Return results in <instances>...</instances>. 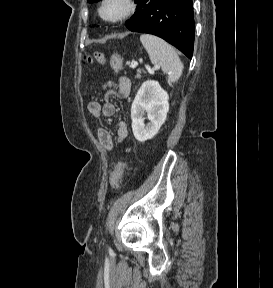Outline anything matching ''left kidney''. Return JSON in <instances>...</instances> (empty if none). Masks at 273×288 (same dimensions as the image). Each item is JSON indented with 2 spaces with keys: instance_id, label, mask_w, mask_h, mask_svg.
<instances>
[{
  "instance_id": "obj_1",
  "label": "left kidney",
  "mask_w": 273,
  "mask_h": 288,
  "mask_svg": "<svg viewBox=\"0 0 273 288\" xmlns=\"http://www.w3.org/2000/svg\"><path fill=\"white\" fill-rule=\"evenodd\" d=\"M168 93L157 81L147 80L138 90L131 107L132 130L139 142L152 139L166 120ZM145 113L149 123L145 125Z\"/></svg>"
}]
</instances>
